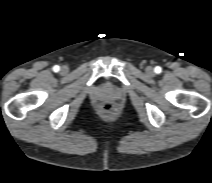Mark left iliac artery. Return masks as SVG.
<instances>
[{
    "label": "left iliac artery",
    "instance_id": "obj_1",
    "mask_svg": "<svg viewBox=\"0 0 212 183\" xmlns=\"http://www.w3.org/2000/svg\"><path fill=\"white\" fill-rule=\"evenodd\" d=\"M161 71H162L161 67H159V66H156V67H155V72H156L157 74L161 73Z\"/></svg>",
    "mask_w": 212,
    "mask_h": 183
}]
</instances>
